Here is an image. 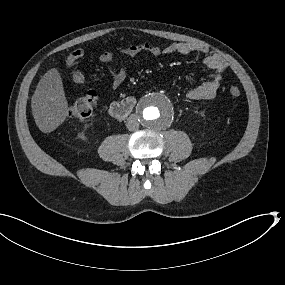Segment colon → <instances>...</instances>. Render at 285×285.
Here are the masks:
<instances>
[{"label":"colon","mask_w":285,"mask_h":285,"mask_svg":"<svg viewBox=\"0 0 285 285\" xmlns=\"http://www.w3.org/2000/svg\"><path fill=\"white\" fill-rule=\"evenodd\" d=\"M84 55V50L81 48L73 50L67 59L69 65L76 63ZM70 79L76 84H83L86 82V75L83 69L77 67L71 71ZM240 89L232 86L229 89V94L232 98L240 96ZM97 101V94L95 91H89L84 96L78 98L69 108V115L72 118L79 120L89 119L94 110Z\"/></svg>","instance_id":"obj_1"}]
</instances>
